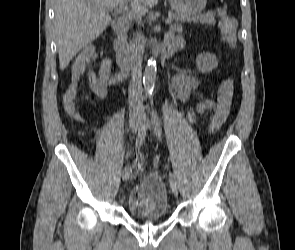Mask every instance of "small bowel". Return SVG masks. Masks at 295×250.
<instances>
[{
  "label": "small bowel",
  "mask_w": 295,
  "mask_h": 250,
  "mask_svg": "<svg viewBox=\"0 0 295 250\" xmlns=\"http://www.w3.org/2000/svg\"><path fill=\"white\" fill-rule=\"evenodd\" d=\"M171 50L179 49L183 44L181 35H170L167 40ZM92 51L85 50L80 53L71 66V78L78 80L80 74L85 70L87 65L92 61ZM88 80L91 90L99 97H104L108 86L117 81L113 74L111 62L104 60L97 72L92 69L88 70ZM200 81L197 77L187 71L177 73L172 79V85L178 97L183 102H188L192 97L197 99V104L190 107L188 117L191 122H196L201 114H205L212 110H216V103L210 98H205L199 92ZM134 169L141 170L143 167V159L138 158L134 161Z\"/></svg>",
  "instance_id": "obj_1"
}]
</instances>
